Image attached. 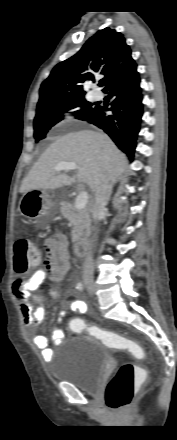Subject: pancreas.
Wrapping results in <instances>:
<instances>
[{"instance_id": "obj_1", "label": "pancreas", "mask_w": 177, "mask_h": 440, "mask_svg": "<svg viewBox=\"0 0 177 440\" xmlns=\"http://www.w3.org/2000/svg\"><path fill=\"white\" fill-rule=\"evenodd\" d=\"M60 211L62 216L72 225V242L85 237L90 231V215L85 209L76 207L66 201L61 202Z\"/></svg>"}]
</instances>
